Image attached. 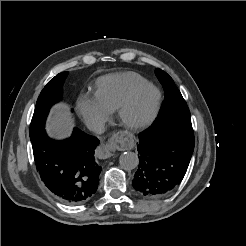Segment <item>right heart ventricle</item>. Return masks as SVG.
<instances>
[{
  "instance_id": "1",
  "label": "right heart ventricle",
  "mask_w": 246,
  "mask_h": 246,
  "mask_svg": "<svg viewBox=\"0 0 246 246\" xmlns=\"http://www.w3.org/2000/svg\"><path fill=\"white\" fill-rule=\"evenodd\" d=\"M148 83L138 73L124 72L100 77L93 96L108 111H114L122 100L135 88Z\"/></svg>"
}]
</instances>
